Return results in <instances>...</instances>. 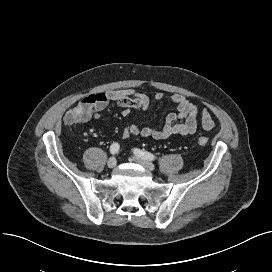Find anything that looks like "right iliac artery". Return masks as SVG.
Here are the masks:
<instances>
[{
    "instance_id": "1",
    "label": "right iliac artery",
    "mask_w": 272,
    "mask_h": 272,
    "mask_svg": "<svg viewBox=\"0 0 272 272\" xmlns=\"http://www.w3.org/2000/svg\"><path fill=\"white\" fill-rule=\"evenodd\" d=\"M119 148H120V146H119L118 143H113V144L110 146V152H111V154H113V155L117 154L118 151H119Z\"/></svg>"
}]
</instances>
